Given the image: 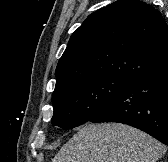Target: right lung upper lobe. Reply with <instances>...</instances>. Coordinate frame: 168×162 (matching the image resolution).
<instances>
[{
	"label": "right lung upper lobe",
	"instance_id": "1",
	"mask_svg": "<svg viewBox=\"0 0 168 162\" xmlns=\"http://www.w3.org/2000/svg\"><path fill=\"white\" fill-rule=\"evenodd\" d=\"M168 64V26L140 0H118L87 17L56 68L55 91L105 75L135 79Z\"/></svg>",
	"mask_w": 168,
	"mask_h": 162
}]
</instances>
